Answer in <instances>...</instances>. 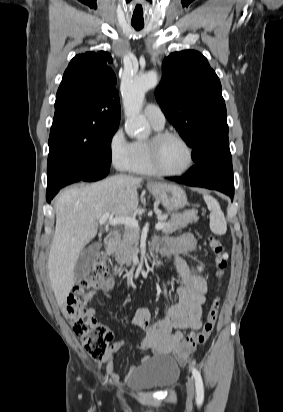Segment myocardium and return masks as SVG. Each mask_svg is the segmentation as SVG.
Returning a JSON list of instances; mask_svg holds the SVG:
<instances>
[{"label": "myocardium", "mask_w": 283, "mask_h": 412, "mask_svg": "<svg viewBox=\"0 0 283 412\" xmlns=\"http://www.w3.org/2000/svg\"><path fill=\"white\" fill-rule=\"evenodd\" d=\"M168 138H175L182 142L188 150L189 160L184 169L177 172L165 171L161 168L159 162V153L161 146ZM148 150L150 163L155 171V174L163 177H179L188 173L195 162L194 148L191 143L180 133L170 130H161L156 132L148 141Z\"/></svg>", "instance_id": "myocardium-1"}]
</instances>
